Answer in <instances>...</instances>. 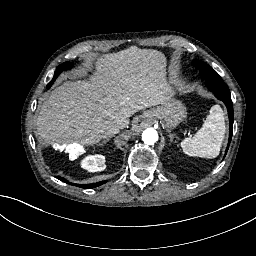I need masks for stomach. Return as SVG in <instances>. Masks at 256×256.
<instances>
[{"label": "stomach", "mask_w": 256, "mask_h": 256, "mask_svg": "<svg viewBox=\"0 0 256 256\" xmlns=\"http://www.w3.org/2000/svg\"><path fill=\"white\" fill-rule=\"evenodd\" d=\"M147 118L153 119L155 122L159 120L165 128L174 129L186 118V108L180 101L171 98L162 106L150 109ZM139 120L140 118H138Z\"/></svg>", "instance_id": "stomach-1"}]
</instances>
